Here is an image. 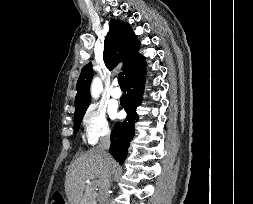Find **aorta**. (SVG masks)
I'll use <instances>...</instances> for the list:
<instances>
[{"label":"aorta","mask_w":253,"mask_h":204,"mask_svg":"<svg viewBox=\"0 0 253 204\" xmlns=\"http://www.w3.org/2000/svg\"><path fill=\"white\" fill-rule=\"evenodd\" d=\"M102 90V82L99 78H94L91 85V93L94 98L99 96L100 91Z\"/></svg>","instance_id":"762f6f07"}]
</instances>
